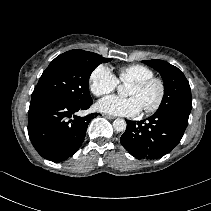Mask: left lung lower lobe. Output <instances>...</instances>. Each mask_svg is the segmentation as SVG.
Listing matches in <instances>:
<instances>
[{"instance_id":"1","label":"left lung lower lobe","mask_w":211,"mask_h":211,"mask_svg":"<svg viewBox=\"0 0 211 211\" xmlns=\"http://www.w3.org/2000/svg\"><path fill=\"white\" fill-rule=\"evenodd\" d=\"M188 118V114L176 110H164L157 111L145 120H126L127 129L121 136L120 142L134 157L160 158L180 142Z\"/></svg>"}]
</instances>
